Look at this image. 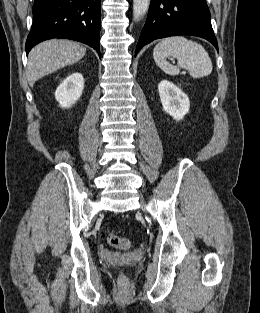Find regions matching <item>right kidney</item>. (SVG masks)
<instances>
[{
	"mask_svg": "<svg viewBox=\"0 0 260 313\" xmlns=\"http://www.w3.org/2000/svg\"><path fill=\"white\" fill-rule=\"evenodd\" d=\"M84 78L81 73H72L66 77L55 91V98L62 108L71 107L82 95Z\"/></svg>",
	"mask_w": 260,
	"mask_h": 313,
	"instance_id": "right-kidney-1",
	"label": "right kidney"
}]
</instances>
